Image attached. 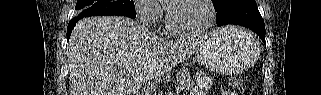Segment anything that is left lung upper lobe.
Listing matches in <instances>:
<instances>
[{
  "instance_id": "left-lung-upper-lobe-1",
  "label": "left lung upper lobe",
  "mask_w": 321,
  "mask_h": 95,
  "mask_svg": "<svg viewBox=\"0 0 321 95\" xmlns=\"http://www.w3.org/2000/svg\"><path fill=\"white\" fill-rule=\"evenodd\" d=\"M226 1L227 0H213V5H214L215 11L220 9Z\"/></svg>"
}]
</instances>
